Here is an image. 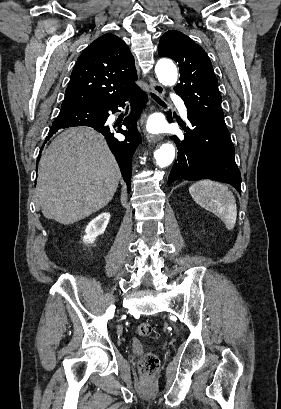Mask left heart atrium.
Returning a JSON list of instances; mask_svg holds the SVG:
<instances>
[{"mask_svg": "<svg viewBox=\"0 0 281 409\" xmlns=\"http://www.w3.org/2000/svg\"><path fill=\"white\" fill-rule=\"evenodd\" d=\"M149 130L157 131L159 129V124L156 121H151L148 125Z\"/></svg>", "mask_w": 281, "mask_h": 409, "instance_id": "1", "label": "left heart atrium"}]
</instances>
